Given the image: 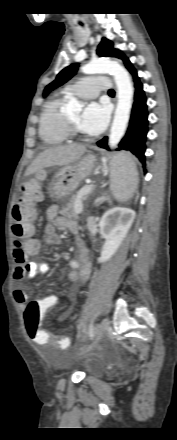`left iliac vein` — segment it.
Here are the masks:
<instances>
[{"instance_id":"obj_1","label":"left iliac vein","mask_w":177,"mask_h":440,"mask_svg":"<svg viewBox=\"0 0 177 440\" xmlns=\"http://www.w3.org/2000/svg\"><path fill=\"white\" fill-rule=\"evenodd\" d=\"M109 323H110V321H109L108 317H105L100 322V324L98 325V327L96 329L95 341L92 344V346L89 347V349L87 351H91L97 345V343L102 339V337L108 331Z\"/></svg>"}]
</instances>
